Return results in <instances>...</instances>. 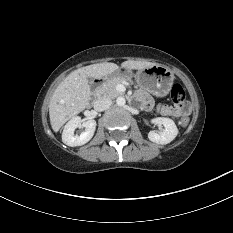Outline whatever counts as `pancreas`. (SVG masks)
<instances>
[{"label":"pancreas","instance_id":"obj_1","mask_svg":"<svg viewBox=\"0 0 233 233\" xmlns=\"http://www.w3.org/2000/svg\"><path fill=\"white\" fill-rule=\"evenodd\" d=\"M128 82L131 81L122 77L109 79L107 82H105L101 87L97 89L96 94L99 98L114 99L117 96L122 95L121 92L116 90V86L118 84H127Z\"/></svg>","mask_w":233,"mask_h":233}]
</instances>
